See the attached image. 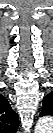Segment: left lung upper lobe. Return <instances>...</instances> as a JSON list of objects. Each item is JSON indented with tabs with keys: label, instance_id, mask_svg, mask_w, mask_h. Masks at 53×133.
I'll return each instance as SVG.
<instances>
[{
	"label": "left lung upper lobe",
	"instance_id": "5c2ea615",
	"mask_svg": "<svg viewBox=\"0 0 53 133\" xmlns=\"http://www.w3.org/2000/svg\"><path fill=\"white\" fill-rule=\"evenodd\" d=\"M41 116L44 115H53V95L49 94L44 98L42 105Z\"/></svg>",
	"mask_w": 53,
	"mask_h": 133
}]
</instances>
